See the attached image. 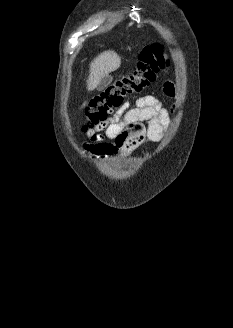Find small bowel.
Returning a JSON list of instances; mask_svg holds the SVG:
<instances>
[{"label": "small bowel", "instance_id": "1", "mask_svg": "<svg viewBox=\"0 0 233 328\" xmlns=\"http://www.w3.org/2000/svg\"><path fill=\"white\" fill-rule=\"evenodd\" d=\"M164 92L173 97L175 88L166 83ZM170 114L162 101L151 95L133 103L125 102L111 119L87 130L89 141L84 143V149L102 156L130 155L147 139L158 141L161 138Z\"/></svg>", "mask_w": 233, "mask_h": 328}]
</instances>
